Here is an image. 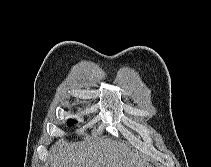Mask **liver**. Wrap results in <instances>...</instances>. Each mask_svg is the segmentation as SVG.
<instances>
[{
  "mask_svg": "<svg viewBox=\"0 0 211 167\" xmlns=\"http://www.w3.org/2000/svg\"><path fill=\"white\" fill-rule=\"evenodd\" d=\"M52 151V167H141L146 163L125 144L109 139L75 148L59 140Z\"/></svg>",
  "mask_w": 211,
  "mask_h": 167,
  "instance_id": "obj_1",
  "label": "liver"
}]
</instances>
